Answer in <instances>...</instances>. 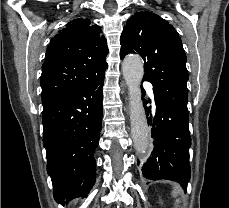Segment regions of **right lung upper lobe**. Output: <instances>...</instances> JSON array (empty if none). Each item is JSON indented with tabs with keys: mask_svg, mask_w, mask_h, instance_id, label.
Returning <instances> with one entry per match:
<instances>
[{
	"mask_svg": "<svg viewBox=\"0 0 229 208\" xmlns=\"http://www.w3.org/2000/svg\"><path fill=\"white\" fill-rule=\"evenodd\" d=\"M100 34L98 25L78 18L68 22L51 40L40 80L43 106L104 73L108 48Z\"/></svg>",
	"mask_w": 229,
	"mask_h": 208,
	"instance_id": "cb5924a9",
	"label": "right lung upper lobe"
}]
</instances>
